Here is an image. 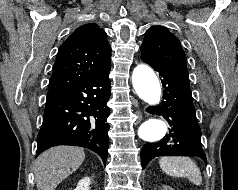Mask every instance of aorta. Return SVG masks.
<instances>
[{
    "label": "aorta",
    "instance_id": "aorta-1",
    "mask_svg": "<svg viewBox=\"0 0 238 190\" xmlns=\"http://www.w3.org/2000/svg\"><path fill=\"white\" fill-rule=\"evenodd\" d=\"M132 83L136 94L146 103L155 106L159 104L161 87L154 71L145 64L135 67L132 74ZM167 132L165 122L159 118L146 119L138 129V136L146 142H157Z\"/></svg>",
    "mask_w": 238,
    "mask_h": 190
}]
</instances>
